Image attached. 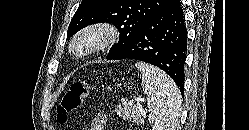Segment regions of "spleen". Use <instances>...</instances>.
I'll use <instances>...</instances> for the list:
<instances>
[{"mask_svg":"<svg viewBox=\"0 0 249 130\" xmlns=\"http://www.w3.org/2000/svg\"><path fill=\"white\" fill-rule=\"evenodd\" d=\"M142 74V88L148 96V118L153 130H175L181 115L182 98L175 82L156 66L137 62Z\"/></svg>","mask_w":249,"mask_h":130,"instance_id":"1","label":"spleen"}]
</instances>
